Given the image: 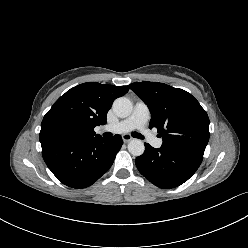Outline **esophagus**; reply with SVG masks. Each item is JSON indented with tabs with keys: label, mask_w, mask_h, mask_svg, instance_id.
<instances>
[{
	"label": "esophagus",
	"mask_w": 248,
	"mask_h": 248,
	"mask_svg": "<svg viewBox=\"0 0 248 248\" xmlns=\"http://www.w3.org/2000/svg\"><path fill=\"white\" fill-rule=\"evenodd\" d=\"M122 139H123V141H124L125 143H127V142L131 141L133 138H132L129 134H124V135L122 136Z\"/></svg>",
	"instance_id": "obj_1"
}]
</instances>
